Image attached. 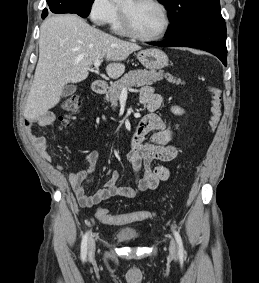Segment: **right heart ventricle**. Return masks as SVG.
I'll use <instances>...</instances> for the list:
<instances>
[{"mask_svg": "<svg viewBox=\"0 0 259 283\" xmlns=\"http://www.w3.org/2000/svg\"><path fill=\"white\" fill-rule=\"evenodd\" d=\"M111 26H112V29L115 32H117L119 34H125L123 27H122L120 13L118 12V9H117L116 15L114 16V18L111 22Z\"/></svg>", "mask_w": 259, "mask_h": 283, "instance_id": "e07e8e85", "label": "right heart ventricle"}]
</instances>
